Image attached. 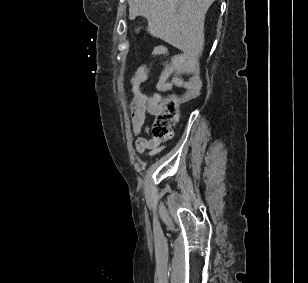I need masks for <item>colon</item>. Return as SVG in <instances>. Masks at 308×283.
<instances>
[{"mask_svg": "<svg viewBox=\"0 0 308 283\" xmlns=\"http://www.w3.org/2000/svg\"><path fill=\"white\" fill-rule=\"evenodd\" d=\"M202 87L201 64L199 57H194L188 86L181 95H170L160 100V111L151 126L152 136L168 140L173 136L172 127L178 119L180 104L195 98Z\"/></svg>", "mask_w": 308, "mask_h": 283, "instance_id": "colon-1", "label": "colon"}]
</instances>
